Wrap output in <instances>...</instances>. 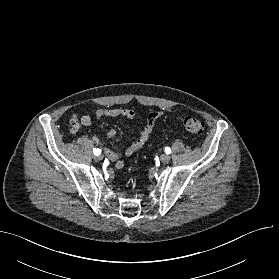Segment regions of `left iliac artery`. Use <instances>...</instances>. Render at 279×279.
Segmentation results:
<instances>
[{"label": "left iliac artery", "mask_w": 279, "mask_h": 279, "mask_svg": "<svg viewBox=\"0 0 279 279\" xmlns=\"http://www.w3.org/2000/svg\"><path fill=\"white\" fill-rule=\"evenodd\" d=\"M165 152H166V154H170L171 153V149L169 147H166L165 148Z\"/></svg>", "instance_id": "44dca946"}]
</instances>
